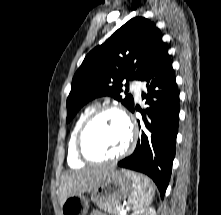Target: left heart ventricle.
I'll list each match as a JSON object with an SVG mask.
<instances>
[{"label":"left heart ventricle","instance_id":"b2bd125f","mask_svg":"<svg viewBox=\"0 0 221 215\" xmlns=\"http://www.w3.org/2000/svg\"><path fill=\"white\" fill-rule=\"evenodd\" d=\"M128 142V129L114 112L100 115L89 127L84 139L87 153L95 158L111 157L122 151Z\"/></svg>","mask_w":221,"mask_h":215}]
</instances>
